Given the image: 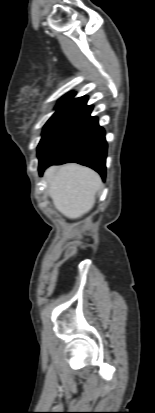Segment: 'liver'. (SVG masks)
Masks as SVG:
<instances>
[{"mask_svg":"<svg viewBox=\"0 0 155 413\" xmlns=\"http://www.w3.org/2000/svg\"><path fill=\"white\" fill-rule=\"evenodd\" d=\"M45 178L49 196L64 216L77 219L93 208L101 186V178L94 170L69 163L51 166L46 170Z\"/></svg>","mask_w":155,"mask_h":413,"instance_id":"liver-1","label":"liver"}]
</instances>
